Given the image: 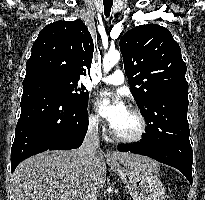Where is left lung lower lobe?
Here are the masks:
<instances>
[{"label": "left lung lower lobe", "mask_w": 205, "mask_h": 200, "mask_svg": "<svg viewBox=\"0 0 205 200\" xmlns=\"http://www.w3.org/2000/svg\"><path fill=\"white\" fill-rule=\"evenodd\" d=\"M188 91L180 89L154 98L156 114L143 139L136 144L118 145V151L142 154L181 171L192 184L193 151L187 120Z\"/></svg>", "instance_id": "1"}]
</instances>
